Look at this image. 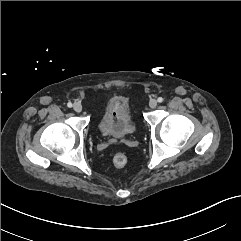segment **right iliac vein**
<instances>
[{
    "mask_svg": "<svg viewBox=\"0 0 241 241\" xmlns=\"http://www.w3.org/2000/svg\"><path fill=\"white\" fill-rule=\"evenodd\" d=\"M73 109L75 112L80 113L82 111V105L79 102H76L73 105Z\"/></svg>",
    "mask_w": 241,
    "mask_h": 241,
    "instance_id": "right-iliac-vein-1",
    "label": "right iliac vein"
}]
</instances>
